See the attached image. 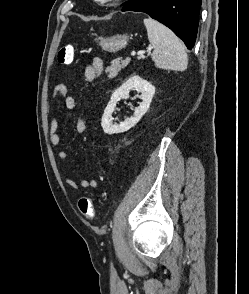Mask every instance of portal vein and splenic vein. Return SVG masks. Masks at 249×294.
I'll return each mask as SVG.
<instances>
[{"instance_id":"18ae733b","label":"portal vein and splenic vein","mask_w":249,"mask_h":294,"mask_svg":"<svg viewBox=\"0 0 249 294\" xmlns=\"http://www.w3.org/2000/svg\"><path fill=\"white\" fill-rule=\"evenodd\" d=\"M148 51H150V49H149ZM144 53H145L144 51H140V52H138L137 55H138L139 57H143V54H144ZM135 55H136V52H135V51H132V52H131V56H135Z\"/></svg>"}]
</instances>
